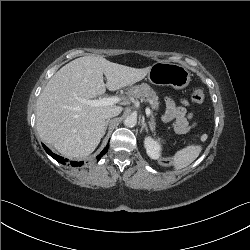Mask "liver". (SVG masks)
Returning a JSON list of instances; mask_svg holds the SVG:
<instances>
[{"mask_svg":"<svg viewBox=\"0 0 250 250\" xmlns=\"http://www.w3.org/2000/svg\"><path fill=\"white\" fill-rule=\"evenodd\" d=\"M150 68H132L100 56L69 62L52 76L37 100L39 136L66 157L80 159L90 155L104 136L105 114L119 106L94 107L81 99L91 100L104 94L106 88L116 91L139 82Z\"/></svg>","mask_w":250,"mask_h":250,"instance_id":"1","label":"liver"}]
</instances>
